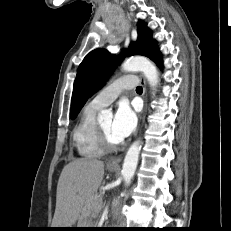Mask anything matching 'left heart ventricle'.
I'll list each match as a JSON object with an SVG mask.
<instances>
[{
    "label": "left heart ventricle",
    "mask_w": 231,
    "mask_h": 231,
    "mask_svg": "<svg viewBox=\"0 0 231 231\" xmlns=\"http://www.w3.org/2000/svg\"><path fill=\"white\" fill-rule=\"evenodd\" d=\"M100 126L110 142L118 143L117 140L112 135V120L111 119L102 122Z\"/></svg>",
    "instance_id": "obj_1"
}]
</instances>
